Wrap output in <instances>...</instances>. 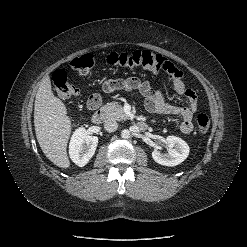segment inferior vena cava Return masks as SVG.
<instances>
[{
    "label": "inferior vena cava",
    "mask_w": 247,
    "mask_h": 247,
    "mask_svg": "<svg viewBox=\"0 0 247 247\" xmlns=\"http://www.w3.org/2000/svg\"><path fill=\"white\" fill-rule=\"evenodd\" d=\"M104 128L107 132H114L118 128V123L113 119H108L104 123Z\"/></svg>",
    "instance_id": "602c4592"
}]
</instances>
